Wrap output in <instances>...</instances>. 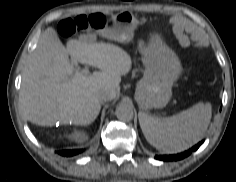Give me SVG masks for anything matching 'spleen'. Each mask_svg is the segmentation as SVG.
Returning a JSON list of instances; mask_svg holds the SVG:
<instances>
[{
    "instance_id": "spleen-1",
    "label": "spleen",
    "mask_w": 236,
    "mask_h": 182,
    "mask_svg": "<svg viewBox=\"0 0 236 182\" xmlns=\"http://www.w3.org/2000/svg\"><path fill=\"white\" fill-rule=\"evenodd\" d=\"M212 116L209 103L191 108L165 119L139 112V122L146 140L165 153L182 152L201 140Z\"/></svg>"
}]
</instances>
